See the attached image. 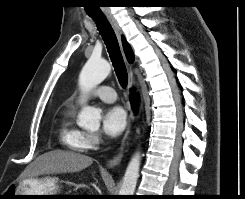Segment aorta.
<instances>
[{
    "label": "aorta",
    "instance_id": "aorta-1",
    "mask_svg": "<svg viewBox=\"0 0 245 199\" xmlns=\"http://www.w3.org/2000/svg\"><path fill=\"white\" fill-rule=\"evenodd\" d=\"M111 72V65L103 59L90 58L84 65L79 85L83 91H88L100 84ZM100 111L94 107H84L78 115L77 123L87 129H98L100 126ZM141 164L140 152L131 158L119 191V195H134Z\"/></svg>",
    "mask_w": 245,
    "mask_h": 199
}]
</instances>
